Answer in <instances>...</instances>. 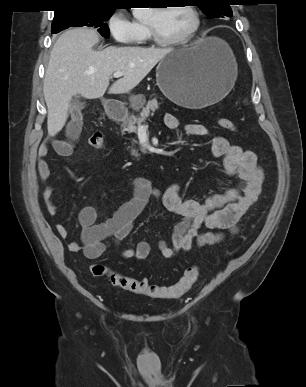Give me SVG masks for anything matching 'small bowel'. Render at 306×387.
<instances>
[{
	"label": "small bowel",
	"mask_w": 306,
	"mask_h": 387,
	"mask_svg": "<svg viewBox=\"0 0 306 387\" xmlns=\"http://www.w3.org/2000/svg\"><path fill=\"white\" fill-rule=\"evenodd\" d=\"M164 123L171 130L179 127L177 117L170 113L165 114ZM80 128V121L73 120L66 128L64 139H50L41 143L37 164L41 179L46 180L50 176V169L45 160L50 146L60 156H71ZM184 131L187 135L195 137L210 135L208 128L199 123L185 125ZM210 150L215 158L222 159L226 175L238 180L235 186L198 200L184 199L178 184H171L160 190L153 187L147 179H134L132 196L110 217L100 220L101 213L91 206L80 209L78 221L82 227L81 241L69 242L68 249L72 252H82L88 259L99 258L110 243L118 244L131 234L136 218L151 198H159L168 211L181 218L173 228L171 245L163 239L157 241L158 250L165 258H173L179 252L189 251L194 243L203 246L219 242L222 234L215 231L236 232L240 219L261 193L264 173L253 151L231 144L225 137H213L210 141ZM43 198L49 213L55 214L53 187L47 186L44 189ZM202 227L210 231L202 233L200 232ZM56 230L61 237H67L68 231L65 226L58 224ZM150 252V243L141 240L136 245L123 249L121 257L125 260L144 261L148 259Z\"/></svg>",
	"instance_id": "obj_1"
}]
</instances>
